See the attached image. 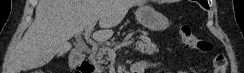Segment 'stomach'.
Listing matches in <instances>:
<instances>
[{
    "label": "stomach",
    "instance_id": "1",
    "mask_svg": "<svg viewBox=\"0 0 244 73\" xmlns=\"http://www.w3.org/2000/svg\"><path fill=\"white\" fill-rule=\"evenodd\" d=\"M135 16L140 24L151 31H163L169 26L168 18L149 5H140Z\"/></svg>",
    "mask_w": 244,
    "mask_h": 73
}]
</instances>
